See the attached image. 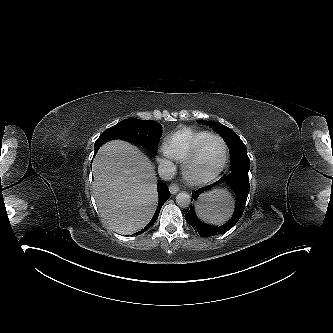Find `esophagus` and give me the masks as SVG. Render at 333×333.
Masks as SVG:
<instances>
[{"mask_svg": "<svg viewBox=\"0 0 333 333\" xmlns=\"http://www.w3.org/2000/svg\"><path fill=\"white\" fill-rule=\"evenodd\" d=\"M179 189H180L179 186L175 183H173L169 186V190H170L171 194H173V195H175L179 191Z\"/></svg>", "mask_w": 333, "mask_h": 333, "instance_id": "34e87169", "label": "esophagus"}]
</instances>
